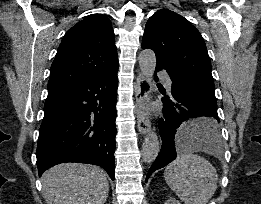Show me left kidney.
<instances>
[{"mask_svg": "<svg viewBox=\"0 0 261 204\" xmlns=\"http://www.w3.org/2000/svg\"><path fill=\"white\" fill-rule=\"evenodd\" d=\"M164 204H181L177 199L171 197Z\"/></svg>", "mask_w": 261, "mask_h": 204, "instance_id": "1", "label": "left kidney"}]
</instances>
